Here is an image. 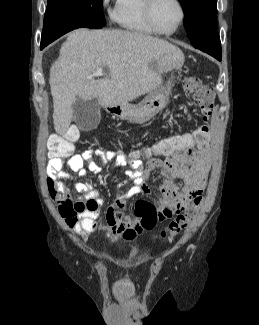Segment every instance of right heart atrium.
<instances>
[{"instance_id": "obj_1", "label": "right heart atrium", "mask_w": 259, "mask_h": 325, "mask_svg": "<svg viewBox=\"0 0 259 325\" xmlns=\"http://www.w3.org/2000/svg\"><path fill=\"white\" fill-rule=\"evenodd\" d=\"M115 0H101L103 7L110 11Z\"/></svg>"}]
</instances>
